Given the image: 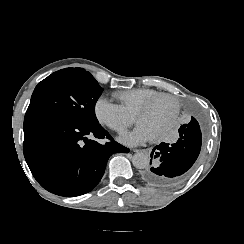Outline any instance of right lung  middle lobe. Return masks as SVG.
<instances>
[{"label":"right lung middle lobe","instance_id":"dd1d6c3e","mask_svg":"<svg viewBox=\"0 0 244 244\" xmlns=\"http://www.w3.org/2000/svg\"><path fill=\"white\" fill-rule=\"evenodd\" d=\"M101 92L91 73L82 68L62 69L36 86L27 112L51 113L84 125L96 124L95 104Z\"/></svg>","mask_w":244,"mask_h":244}]
</instances>
